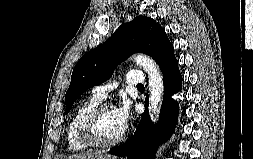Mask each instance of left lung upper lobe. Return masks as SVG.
Returning <instances> with one entry per match:
<instances>
[{"label": "left lung upper lobe", "mask_w": 253, "mask_h": 159, "mask_svg": "<svg viewBox=\"0 0 253 159\" xmlns=\"http://www.w3.org/2000/svg\"><path fill=\"white\" fill-rule=\"evenodd\" d=\"M137 52L151 56L160 68L174 55L165 30L150 17L139 16L122 24L104 44L81 57L65 95L64 115L80 95L109 79L117 65Z\"/></svg>", "instance_id": "obj_1"}]
</instances>
